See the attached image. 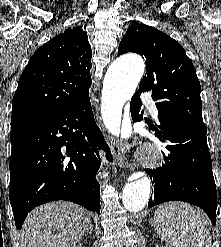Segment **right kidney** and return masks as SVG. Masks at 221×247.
I'll use <instances>...</instances> for the list:
<instances>
[{"instance_id":"1","label":"right kidney","mask_w":221,"mask_h":247,"mask_svg":"<svg viewBox=\"0 0 221 247\" xmlns=\"http://www.w3.org/2000/svg\"><path fill=\"white\" fill-rule=\"evenodd\" d=\"M75 247H82V246H81V244H79V245H77V246H75Z\"/></svg>"}]
</instances>
